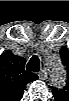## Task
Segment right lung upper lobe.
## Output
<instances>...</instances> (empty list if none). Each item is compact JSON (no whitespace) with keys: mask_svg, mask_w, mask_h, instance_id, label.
<instances>
[{"mask_svg":"<svg viewBox=\"0 0 69 101\" xmlns=\"http://www.w3.org/2000/svg\"><path fill=\"white\" fill-rule=\"evenodd\" d=\"M25 59L14 55L11 51H6L1 57V91L10 99L20 100L24 89L29 82L38 79V76L24 70Z\"/></svg>","mask_w":69,"mask_h":101,"instance_id":"cb5924a9","label":"right lung upper lobe"}]
</instances>
